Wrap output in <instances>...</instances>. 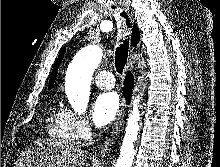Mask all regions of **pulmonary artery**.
I'll use <instances>...</instances> for the list:
<instances>
[{"mask_svg": "<svg viewBox=\"0 0 220 167\" xmlns=\"http://www.w3.org/2000/svg\"><path fill=\"white\" fill-rule=\"evenodd\" d=\"M96 85L101 89H112L115 86V79L110 71H100L94 76Z\"/></svg>", "mask_w": 220, "mask_h": 167, "instance_id": "e3ab8cb5", "label": "pulmonary artery"}]
</instances>
